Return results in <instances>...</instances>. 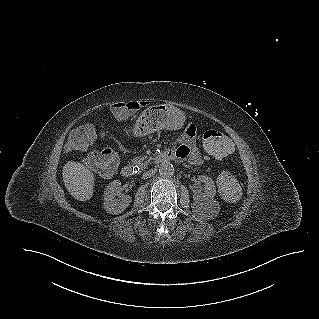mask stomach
<instances>
[{"instance_id": "1", "label": "stomach", "mask_w": 319, "mask_h": 319, "mask_svg": "<svg viewBox=\"0 0 319 319\" xmlns=\"http://www.w3.org/2000/svg\"><path fill=\"white\" fill-rule=\"evenodd\" d=\"M185 114L170 104H159L143 110L132 124L139 138L158 133L161 129L178 130L184 126Z\"/></svg>"}]
</instances>
